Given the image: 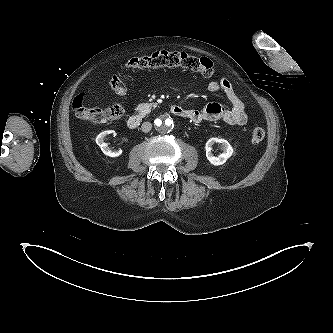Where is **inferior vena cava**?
I'll use <instances>...</instances> for the list:
<instances>
[{"instance_id": "602c4592", "label": "inferior vena cava", "mask_w": 333, "mask_h": 333, "mask_svg": "<svg viewBox=\"0 0 333 333\" xmlns=\"http://www.w3.org/2000/svg\"><path fill=\"white\" fill-rule=\"evenodd\" d=\"M152 129V124L150 122H144L141 126V130L144 133H148Z\"/></svg>"}]
</instances>
